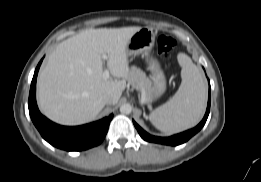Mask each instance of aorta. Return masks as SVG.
<instances>
[{"instance_id":"obj_1","label":"aorta","mask_w":261,"mask_h":182,"mask_svg":"<svg viewBox=\"0 0 261 182\" xmlns=\"http://www.w3.org/2000/svg\"><path fill=\"white\" fill-rule=\"evenodd\" d=\"M120 112L122 114H130L132 112V106L130 104H123L120 106Z\"/></svg>"}]
</instances>
